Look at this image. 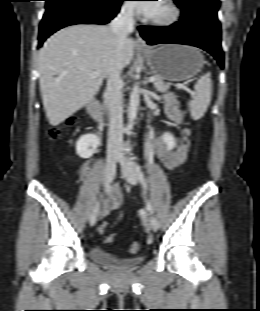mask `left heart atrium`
<instances>
[{"instance_id":"obj_1","label":"left heart atrium","mask_w":260,"mask_h":311,"mask_svg":"<svg viewBox=\"0 0 260 311\" xmlns=\"http://www.w3.org/2000/svg\"><path fill=\"white\" fill-rule=\"evenodd\" d=\"M146 2H157V3H146ZM134 6L136 7L137 11H139L140 13L145 14L147 16H152L154 12L156 11V8L158 6V1H144V2L134 4Z\"/></svg>"}]
</instances>
